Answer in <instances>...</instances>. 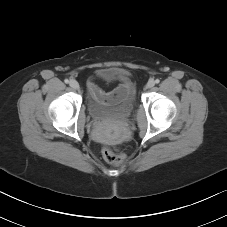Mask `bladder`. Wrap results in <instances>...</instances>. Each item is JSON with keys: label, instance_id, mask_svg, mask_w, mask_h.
I'll return each instance as SVG.
<instances>
[{"label": "bladder", "instance_id": "1", "mask_svg": "<svg viewBox=\"0 0 227 227\" xmlns=\"http://www.w3.org/2000/svg\"><path fill=\"white\" fill-rule=\"evenodd\" d=\"M113 69L100 70L97 75L105 77ZM89 114L96 121H106L128 116L135 106V94L132 84L127 92L117 101L102 102L90 98L87 103Z\"/></svg>", "mask_w": 227, "mask_h": 227}]
</instances>
